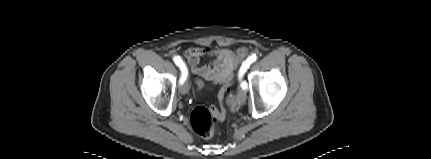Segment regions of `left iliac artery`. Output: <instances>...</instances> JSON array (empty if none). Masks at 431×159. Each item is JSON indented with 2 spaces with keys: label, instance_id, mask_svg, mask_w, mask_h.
<instances>
[{
  "label": "left iliac artery",
  "instance_id": "1",
  "mask_svg": "<svg viewBox=\"0 0 431 159\" xmlns=\"http://www.w3.org/2000/svg\"><path fill=\"white\" fill-rule=\"evenodd\" d=\"M257 60V56L255 54H253L252 56H250L245 62H243L240 71H239V79L241 80L244 73L247 71V69L249 68V66L255 62ZM241 87L242 89H247V83L245 81L241 82Z\"/></svg>",
  "mask_w": 431,
  "mask_h": 159
}]
</instances>
